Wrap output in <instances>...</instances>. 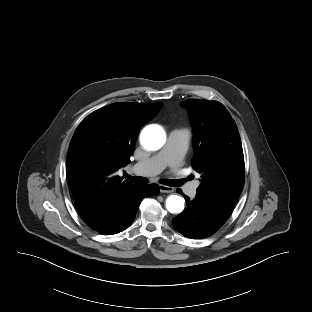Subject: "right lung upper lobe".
Here are the masks:
<instances>
[{
    "label": "right lung upper lobe",
    "instance_id": "cb5924a9",
    "mask_svg": "<svg viewBox=\"0 0 312 312\" xmlns=\"http://www.w3.org/2000/svg\"><path fill=\"white\" fill-rule=\"evenodd\" d=\"M162 105L110 104L77 127L67 154V173L77 210L91 227L109 218L136 185L116 172L130 163L140 128Z\"/></svg>",
    "mask_w": 312,
    "mask_h": 312
}]
</instances>
